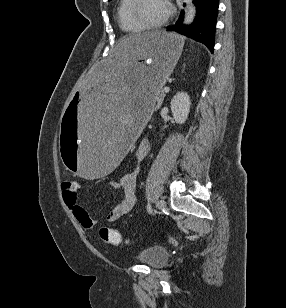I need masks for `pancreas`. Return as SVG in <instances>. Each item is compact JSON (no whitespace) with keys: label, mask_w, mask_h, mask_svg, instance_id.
<instances>
[{"label":"pancreas","mask_w":286,"mask_h":308,"mask_svg":"<svg viewBox=\"0 0 286 308\" xmlns=\"http://www.w3.org/2000/svg\"><path fill=\"white\" fill-rule=\"evenodd\" d=\"M164 93H162V89L158 92L156 101H157V105H156V109L160 106L162 100L164 99Z\"/></svg>","instance_id":"cf45deb5"}]
</instances>
